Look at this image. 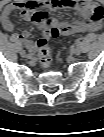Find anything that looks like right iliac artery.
Masks as SVG:
<instances>
[{
    "label": "right iliac artery",
    "mask_w": 104,
    "mask_h": 137,
    "mask_svg": "<svg viewBox=\"0 0 104 137\" xmlns=\"http://www.w3.org/2000/svg\"><path fill=\"white\" fill-rule=\"evenodd\" d=\"M19 46L21 47L22 50H26V47L24 46L22 42H19Z\"/></svg>",
    "instance_id": "1"
}]
</instances>
